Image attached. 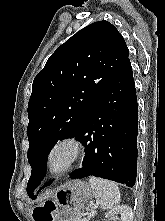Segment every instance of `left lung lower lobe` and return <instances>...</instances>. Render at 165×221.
Segmentation results:
<instances>
[{"label":"left lung lower lobe","mask_w":165,"mask_h":221,"mask_svg":"<svg viewBox=\"0 0 165 221\" xmlns=\"http://www.w3.org/2000/svg\"><path fill=\"white\" fill-rule=\"evenodd\" d=\"M137 130L136 89L128 60L74 136L85 145L86 155L82 166L70 177L95 176L133 187L137 173Z\"/></svg>","instance_id":"left-lung-lower-lobe-1"}]
</instances>
